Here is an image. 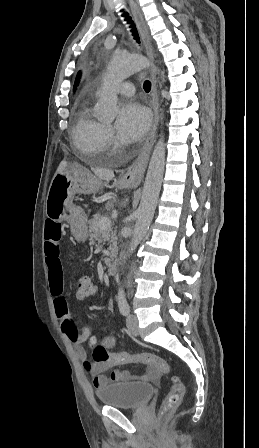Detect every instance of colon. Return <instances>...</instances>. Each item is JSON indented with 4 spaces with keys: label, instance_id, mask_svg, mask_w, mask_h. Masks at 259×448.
<instances>
[{
    "label": "colon",
    "instance_id": "5ec220e1",
    "mask_svg": "<svg viewBox=\"0 0 259 448\" xmlns=\"http://www.w3.org/2000/svg\"><path fill=\"white\" fill-rule=\"evenodd\" d=\"M76 295L79 299L94 297L97 294L96 284L88 276H79L75 280ZM90 344L93 348V359L97 363H111L113 365L125 363H146L156 367L163 374L171 375V387L168 395L164 398L158 422L162 426L168 416L176 410L184 395V386L179 378L172 373L170 364L163 358L150 353H110L103 345H98L92 338Z\"/></svg>",
    "mask_w": 259,
    "mask_h": 448
}]
</instances>
